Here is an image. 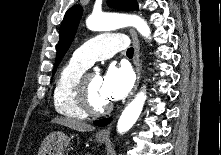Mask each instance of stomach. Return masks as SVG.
Wrapping results in <instances>:
<instances>
[{
    "label": "stomach",
    "instance_id": "obj_1",
    "mask_svg": "<svg viewBox=\"0 0 221 155\" xmlns=\"http://www.w3.org/2000/svg\"><path fill=\"white\" fill-rule=\"evenodd\" d=\"M105 137L96 136L98 143H104ZM70 143L69 137L61 131L49 134L42 142L38 155H64L65 149Z\"/></svg>",
    "mask_w": 221,
    "mask_h": 155
}]
</instances>
